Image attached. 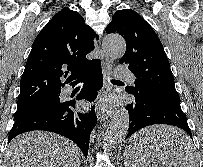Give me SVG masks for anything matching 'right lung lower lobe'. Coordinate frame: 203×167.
<instances>
[{
    "mask_svg": "<svg viewBox=\"0 0 203 167\" xmlns=\"http://www.w3.org/2000/svg\"><path fill=\"white\" fill-rule=\"evenodd\" d=\"M79 78L84 81V86L77 95V99L93 101L97 96V90L103 86L100 60ZM78 79L71 82L70 85H76ZM74 108L75 100L60 101L55 105L29 112L15 119L8 142L24 132L50 131L71 139L87 158L90 133L97 121L94 106L91 108V112L86 114L78 113Z\"/></svg>",
    "mask_w": 203,
    "mask_h": 167,
    "instance_id": "1",
    "label": "right lung lower lobe"
}]
</instances>
